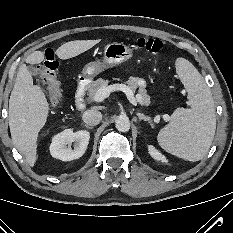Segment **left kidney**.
I'll return each mask as SVG.
<instances>
[{
  "label": "left kidney",
  "instance_id": "left-kidney-1",
  "mask_svg": "<svg viewBox=\"0 0 233 233\" xmlns=\"http://www.w3.org/2000/svg\"><path fill=\"white\" fill-rule=\"evenodd\" d=\"M148 151L151 157L154 158L155 160L167 162L165 156L162 155L158 150H156L155 147H153L152 145L148 146Z\"/></svg>",
  "mask_w": 233,
  "mask_h": 233
}]
</instances>
